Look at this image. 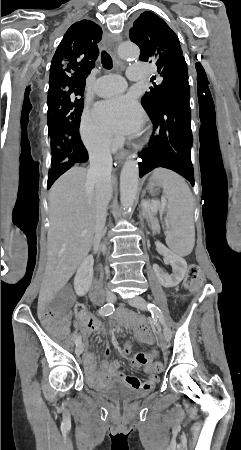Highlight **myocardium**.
Wrapping results in <instances>:
<instances>
[{
  "mask_svg": "<svg viewBox=\"0 0 241 450\" xmlns=\"http://www.w3.org/2000/svg\"><path fill=\"white\" fill-rule=\"evenodd\" d=\"M142 141L143 142H146L147 141V138L146 137H148V132H142ZM141 149H146V144H141Z\"/></svg>",
  "mask_w": 241,
  "mask_h": 450,
  "instance_id": "myocardium-1",
  "label": "myocardium"
}]
</instances>
